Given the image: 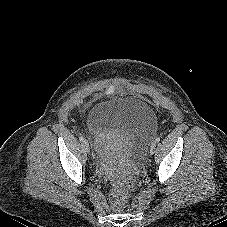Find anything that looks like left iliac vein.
<instances>
[{"mask_svg":"<svg viewBox=\"0 0 227 227\" xmlns=\"http://www.w3.org/2000/svg\"><path fill=\"white\" fill-rule=\"evenodd\" d=\"M156 149V143H152L150 146L149 153L152 155L155 152Z\"/></svg>","mask_w":227,"mask_h":227,"instance_id":"1","label":"left iliac vein"}]
</instances>
